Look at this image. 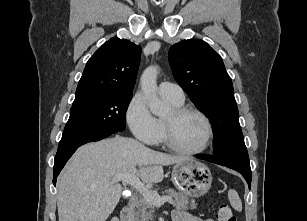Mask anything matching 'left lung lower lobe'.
<instances>
[{
    "label": "left lung lower lobe",
    "mask_w": 307,
    "mask_h": 221,
    "mask_svg": "<svg viewBox=\"0 0 307 221\" xmlns=\"http://www.w3.org/2000/svg\"><path fill=\"white\" fill-rule=\"evenodd\" d=\"M198 159L207 160L212 163H216L228 168L234 169L240 172L248 183V187H251L252 173L250 168V162H243L232 157L216 156V157H206L197 156Z\"/></svg>",
    "instance_id": "1"
}]
</instances>
